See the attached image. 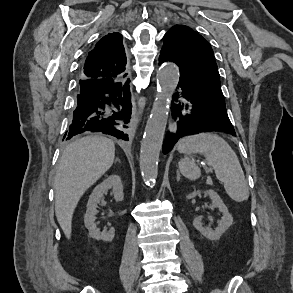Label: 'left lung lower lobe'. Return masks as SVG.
Wrapping results in <instances>:
<instances>
[{"mask_svg":"<svg viewBox=\"0 0 293 293\" xmlns=\"http://www.w3.org/2000/svg\"><path fill=\"white\" fill-rule=\"evenodd\" d=\"M164 61L166 60L159 57V64ZM178 88L171 103L172 116L177 120V130L173 134H167L163 145L164 154L170 152L176 142L186 135L222 131L236 136L225 102L204 97L181 84H178Z\"/></svg>","mask_w":293,"mask_h":293,"instance_id":"left-lung-lower-lobe-1","label":"left lung lower lobe"}]
</instances>
